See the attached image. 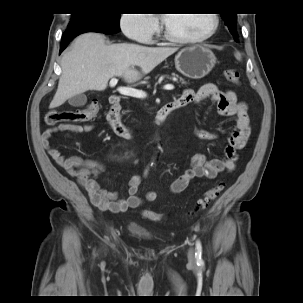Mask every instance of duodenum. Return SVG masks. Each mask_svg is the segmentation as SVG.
<instances>
[{
	"mask_svg": "<svg viewBox=\"0 0 303 303\" xmlns=\"http://www.w3.org/2000/svg\"><path fill=\"white\" fill-rule=\"evenodd\" d=\"M110 110L107 115L108 121L112 124L114 133L122 139L131 137L130 129L121 122V98L118 95H111L109 98ZM181 107L178 101H172L164 105L156 115L155 125L160 124L173 110Z\"/></svg>",
	"mask_w": 303,
	"mask_h": 303,
	"instance_id": "duodenum-1",
	"label": "duodenum"
}]
</instances>
